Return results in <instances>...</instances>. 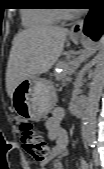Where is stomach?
Here are the masks:
<instances>
[{"mask_svg":"<svg viewBox=\"0 0 104 169\" xmlns=\"http://www.w3.org/2000/svg\"><path fill=\"white\" fill-rule=\"evenodd\" d=\"M56 98L53 83L34 75L18 84L13 91L11 102L20 118L37 121L45 118L54 108Z\"/></svg>","mask_w":104,"mask_h":169,"instance_id":"0dacf381","label":"stomach"}]
</instances>
